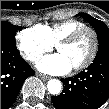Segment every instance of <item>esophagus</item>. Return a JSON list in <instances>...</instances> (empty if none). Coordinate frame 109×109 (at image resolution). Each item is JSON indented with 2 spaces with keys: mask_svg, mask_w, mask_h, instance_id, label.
<instances>
[{
  "mask_svg": "<svg viewBox=\"0 0 109 109\" xmlns=\"http://www.w3.org/2000/svg\"><path fill=\"white\" fill-rule=\"evenodd\" d=\"M38 76H39L42 80H44V81H46V80H49V79H50V77H49V76H46V75H43V74H38Z\"/></svg>",
  "mask_w": 109,
  "mask_h": 109,
  "instance_id": "34e87169",
  "label": "esophagus"
}]
</instances>
